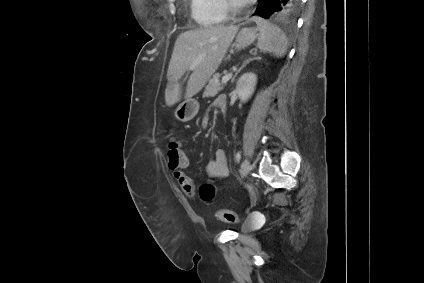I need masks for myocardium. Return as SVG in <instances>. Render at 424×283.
Returning <instances> with one entry per match:
<instances>
[{"label": "myocardium", "instance_id": "1", "mask_svg": "<svg viewBox=\"0 0 424 283\" xmlns=\"http://www.w3.org/2000/svg\"><path fill=\"white\" fill-rule=\"evenodd\" d=\"M227 6L232 14H238L243 10V6L235 3L233 0H227Z\"/></svg>", "mask_w": 424, "mask_h": 283}]
</instances>
